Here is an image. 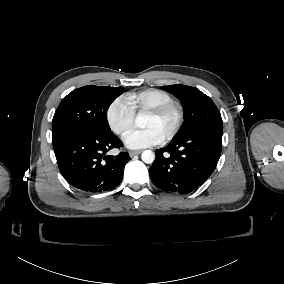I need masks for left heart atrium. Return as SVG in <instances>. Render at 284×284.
<instances>
[{"instance_id": "left-heart-atrium-1", "label": "left heart atrium", "mask_w": 284, "mask_h": 284, "mask_svg": "<svg viewBox=\"0 0 284 284\" xmlns=\"http://www.w3.org/2000/svg\"><path fill=\"white\" fill-rule=\"evenodd\" d=\"M123 142L129 149H142L160 144L162 137L152 128L131 129L123 136Z\"/></svg>"}]
</instances>
